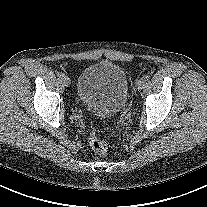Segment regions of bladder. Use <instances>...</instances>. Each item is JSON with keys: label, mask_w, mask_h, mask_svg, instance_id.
Instances as JSON below:
<instances>
[{"label": "bladder", "mask_w": 207, "mask_h": 207, "mask_svg": "<svg viewBox=\"0 0 207 207\" xmlns=\"http://www.w3.org/2000/svg\"><path fill=\"white\" fill-rule=\"evenodd\" d=\"M128 92L125 71L107 61L86 66L79 74L76 87L78 101L98 115L121 111L126 106Z\"/></svg>", "instance_id": "1"}]
</instances>
